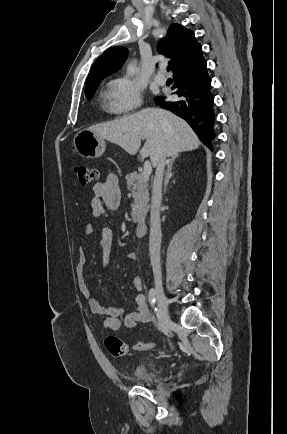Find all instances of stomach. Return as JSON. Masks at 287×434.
<instances>
[{
    "instance_id": "obj_1",
    "label": "stomach",
    "mask_w": 287,
    "mask_h": 434,
    "mask_svg": "<svg viewBox=\"0 0 287 434\" xmlns=\"http://www.w3.org/2000/svg\"><path fill=\"white\" fill-rule=\"evenodd\" d=\"M73 144L77 153L88 159L100 157L106 148L104 138L89 129L80 130L75 135Z\"/></svg>"
}]
</instances>
